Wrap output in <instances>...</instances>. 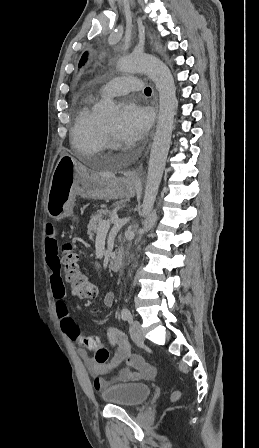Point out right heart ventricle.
Segmentation results:
<instances>
[{"mask_svg":"<svg viewBox=\"0 0 259 448\" xmlns=\"http://www.w3.org/2000/svg\"><path fill=\"white\" fill-rule=\"evenodd\" d=\"M97 97L93 93L84 96L77 105L74 124L71 130L73 145L80 151H85L82 163H90L89 155L103 151L106 143L101 132V121L93 114Z\"/></svg>","mask_w":259,"mask_h":448,"instance_id":"e07e8e85","label":"right heart ventricle"}]
</instances>
